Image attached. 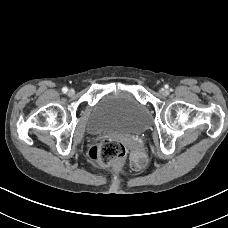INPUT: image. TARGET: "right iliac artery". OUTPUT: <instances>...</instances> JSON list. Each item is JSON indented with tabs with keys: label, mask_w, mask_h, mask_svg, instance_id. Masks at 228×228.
<instances>
[{
	"label": "right iliac artery",
	"mask_w": 228,
	"mask_h": 228,
	"mask_svg": "<svg viewBox=\"0 0 228 228\" xmlns=\"http://www.w3.org/2000/svg\"><path fill=\"white\" fill-rule=\"evenodd\" d=\"M67 91H68L67 87H63V88H62V92H63V93H67Z\"/></svg>",
	"instance_id": "82829eb1"
}]
</instances>
